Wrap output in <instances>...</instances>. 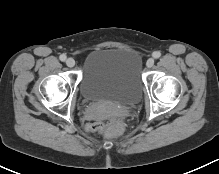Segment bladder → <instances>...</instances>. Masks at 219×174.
Returning <instances> with one entry per match:
<instances>
[{
    "label": "bladder",
    "instance_id": "1",
    "mask_svg": "<svg viewBox=\"0 0 219 174\" xmlns=\"http://www.w3.org/2000/svg\"><path fill=\"white\" fill-rule=\"evenodd\" d=\"M78 87L88 102L135 105L144 87L140 56L129 48L94 49L84 59Z\"/></svg>",
    "mask_w": 219,
    "mask_h": 174
}]
</instances>
